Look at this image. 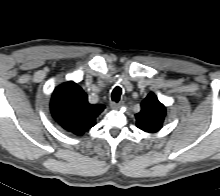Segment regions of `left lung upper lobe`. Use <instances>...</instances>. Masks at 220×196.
Instances as JSON below:
<instances>
[{
  "instance_id": "1",
  "label": "left lung upper lobe",
  "mask_w": 220,
  "mask_h": 196,
  "mask_svg": "<svg viewBox=\"0 0 220 196\" xmlns=\"http://www.w3.org/2000/svg\"><path fill=\"white\" fill-rule=\"evenodd\" d=\"M165 115V106L151 92L141 103V111L136 114V125L145 132L156 133L161 129Z\"/></svg>"
}]
</instances>
